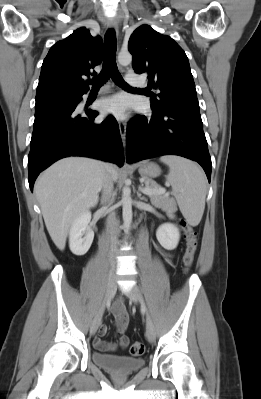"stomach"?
I'll return each mask as SVG.
<instances>
[{"label": "stomach", "mask_w": 261, "mask_h": 399, "mask_svg": "<svg viewBox=\"0 0 261 399\" xmlns=\"http://www.w3.org/2000/svg\"><path fill=\"white\" fill-rule=\"evenodd\" d=\"M139 173L147 177H157L161 170L159 166L153 162H143L139 166Z\"/></svg>", "instance_id": "0dacf381"}]
</instances>
